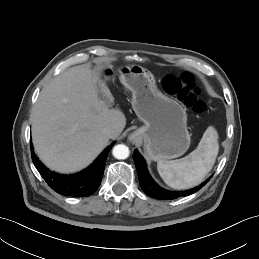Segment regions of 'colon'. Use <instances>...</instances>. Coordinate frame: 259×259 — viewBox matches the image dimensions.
Returning <instances> with one entry per match:
<instances>
[{
  "mask_svg": "<svg viewBox=\"0 0 259 259\" xmlns=\"http://www.w3.org/2000/svg\"><path fill=\"white\" fill-rule=\"evenodd\" d=\"M163 88L167 93L175 95L196 114H203L208 109L201 90L197 87L194 77L189 73L167 75L163 79Z\"/></svg>",
  "mask_w": 259,
  "mask_h": 259,
  "instance_id": "5ec220e1",
  "label": "colon"
}]
</instances>
